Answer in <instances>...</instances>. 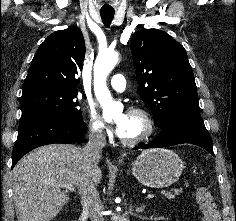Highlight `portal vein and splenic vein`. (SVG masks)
I'll return each instance as SVG.
<instances>
[{
    "mask_svg": "<svg viewBox=\"0 0 236 221\" xmlns=\"http://www.w3.org/2000/svg\"><path fill=\"white\" fill-rule=\"evenodd\" d=\"M60 186L65 188L66 190H70V191H73V192L75 191V187L71 184H62ZM154 196H155V194L151 193V194H148L146 198L151 199V198H154Z\"/></svg>",
    "mask_w": 236,
    "mask_h": 221,
    "instance_id": "18ae733b",
    "label": "portal vein and splenic vein"
}]
</instances>
